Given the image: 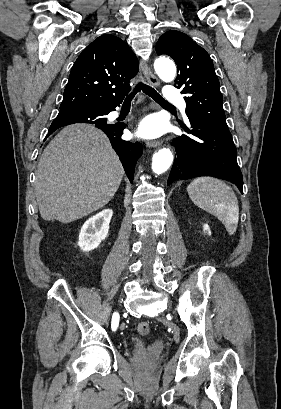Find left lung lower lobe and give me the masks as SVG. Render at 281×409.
Returning a JSON list of instances; mask_svg holds the SVG:
<instances>
[{"label": "left lung lower lobe", "instance_id": "obj_1", "mask_svg": "<svg viewBox=\"0 0 281 409\" xmlns=\"http://www.w3.org/2000/svg\"><path fill=\"white\" fill-rule=\"evenodd\" d=\"M192 130L189 135L175 138L172 145L177 160L171 169L167 185L178 179L213 176L234 183L243 193V178L236 156L237 150L228 128L196 117H188Z\"/></svg>", "mask_w": 281, "mask_h": 409}]
</instances>
